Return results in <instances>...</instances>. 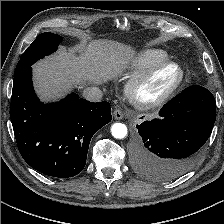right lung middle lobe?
Masks as SVG:
<instances>
[{
  "label": "right lung middle lobe",
  "mask_w": 224,
  "mask_h": 224,
  "mask_svg": "<svg viewBox=\"0 0 224 224\" xmlns=\"http://www.w3.org/2000/svg\"><path fill=\"white\" fill-rule=\"evenodd\" d=\"M63 38L57 34L45 32L40 34L21 56L15 72L14 80L37 60L56 51Z\"/></svg>",
  "instance_id": "right-lung-middle-lobe-1"
}]
</instances>
